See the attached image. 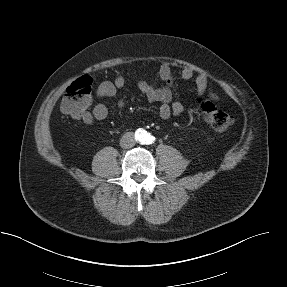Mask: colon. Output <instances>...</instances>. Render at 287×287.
Returning a JSON list of instances; mask_svg holds the SVG:
<instances>
[{
  "label": "colon",
  "instance_id": "colon-1",
  "mask_svg": "<svg viewBox=\"0 0 287 287\" xmlns=\"http://www.w3.org/2000/svg\"><path fill=\"white\" fill-rule=\"evenodd\" d=\"M92 78L84 75L75 80L67 89L61 102V111L76 119H81L92 102ZM199 110L203 120L215 130L225 131L233 123L232 117L212 102L199 99Z\"/></svg>",
  "mask_w": 287,
  "mask_h": 287
}]
</instances>
